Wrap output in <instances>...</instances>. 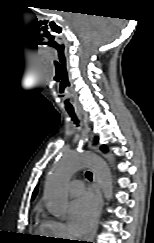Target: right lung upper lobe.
<instances>
[{"label":"right lung upper lobe","instance_id":"1","mask_svg":"<svg viewBox=\"0 0 154 243\" xmlns=\"http://www.w3.org/2000/svg\"><path fill=\"white\" fill-rule=\"evenodd\" d=\"M36 193H37V188L34 190V192H33V194H32V199H34Z\"/></svg>","mask_w":154,"mask_h":243}]
</instances>
